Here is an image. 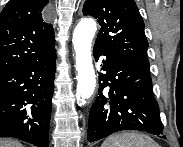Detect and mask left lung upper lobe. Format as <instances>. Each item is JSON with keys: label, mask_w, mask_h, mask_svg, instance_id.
<instances>
[{"label": "left lung upper lobe", "mask_w": 183, "mask_h": 147, "mask_svg": "<svg viewBox=\"0 0 183 147\" xmlns=\"http://www.w3.org/2000/svg\"><path fill=\"white\" fill-rule=\"evenodd\" d=\"M83 14L101 26L95 46L149 70L144 22L134 0H86Z\"/></svg>", "instance_id": "5c2ea615"}]
</instances>
